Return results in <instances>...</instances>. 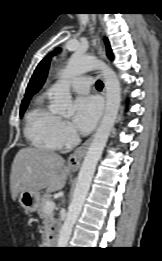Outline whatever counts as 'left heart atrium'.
Here are the masks:
<instances>
[{"label":"left heart atrium","instance_id":"obj_1","mask_svg":"<svg viewBox=\"0 0 162 261\" xmlns=\"http://www.w3.org/2000/svg\"><path fill=\"white\" fill-rule=\"evenodd\" d=\"M74 127L81 133H88L94 127L101 110L99 100L94 96H81L73 104Z\"/></svg>","mask_w":162,"mask_h":261}]
</instances>
